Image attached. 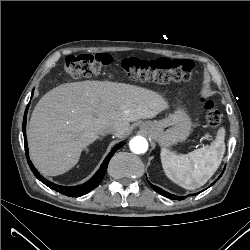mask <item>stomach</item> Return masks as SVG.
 I'll return each instance as SVG.
<instances>
[{
    "instance_id": "0dacf381",
    "label": "stomach",
    "mask_w": 250,
    "mask_h": 250,
    "mask_svg": "<svg viewBox=\"0 0 250 250\" xmlns=\"http://www.w3.org/2000/svg\"><path fill=\"white\" fill-rule=\"evenodd\" d=\"M191 119L182 108H178L167 118L158 121H147L140 128L160 146L168 147L178 142L185 141L191 131Z\"/></svg>"
}]
</instances>
